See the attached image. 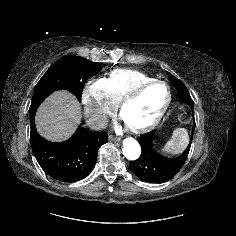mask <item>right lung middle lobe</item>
I'll use <instances>...</instances> for the list:
<instances>
[{"mask_svg": "<svg viewBox=\"0 0 236 236\" xmlns=\"http://www.w3.org/2000/svg\"><path fill=\"white\" fill-rule=\"evenodd\" d=\"M102 69L101 64L66 55L52 65L36 85L29 111L38 108L42 101L56 90L65 89L81 101L82 89L87 79Z\"/></svg>", "mask_w": 236, "mask_h": 236, "instance_id": "dd1d6c3e", "label": "right lung middle lobe"}]
</instances>
